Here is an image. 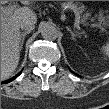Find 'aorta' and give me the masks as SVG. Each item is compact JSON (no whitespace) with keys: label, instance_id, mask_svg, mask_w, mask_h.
<instances>
[{"label":"aorta","instance_id":"1","mask_svg":"<svg viewBox=\"0 0 109 109\" xmlns=\"http://www.w3.org/2000/svg\"><path fill=\"white\" fill-rule=\"evenodd\" d=\"M41 35L46 40H55L58 36V31L53 24L46 23L41 28Z\"/></svg>","mask_w":109,"mask_h":109}]
</instances>
